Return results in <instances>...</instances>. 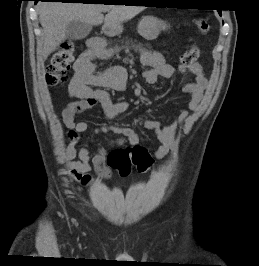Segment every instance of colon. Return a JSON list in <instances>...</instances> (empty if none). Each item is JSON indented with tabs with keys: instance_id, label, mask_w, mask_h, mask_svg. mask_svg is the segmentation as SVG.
<instances>
[{
	"instance_id": "obj_1",
	"label": "colon",
	"mask_w": 259,
	"mask_h": 266,
	"mask_svg": "<svg viewBox=\"0 0 259 266\" xmlns=\"http://www.w3.org/2000/svg\"><path fill=\"white\" fill-rule=\"evenodd\" d=\"M196 27L203 35L209 32L210 26L206 19L199 18L195 21ZM200 50L197 46L191 47L181 56V63L190 66L197 62ZM75 59V47L70 42H64L53 55L47 68L46 81L50 86L62 84L67 78V72ZM108 164L118 171L121 176H127L134 167L139 172H146L153 163V159L145 148L135 145L119 148L108 155Z\"/></svg>"
}]
</instances>
